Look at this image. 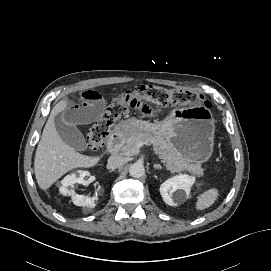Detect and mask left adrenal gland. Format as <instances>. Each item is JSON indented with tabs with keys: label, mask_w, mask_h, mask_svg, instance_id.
Segmentation results:
<instances>
[{
	"label": "left adrenal gland",
	"mask_w": 271,
	"mask_h": 271,
	"mask_svg": "<svg viewBox=\"0 0 271 271\" xmlns=\"http://www.w3.org/2000/svg\"><path fill=\"white\" fill-rule=\"evenodd\" d=\"M153 168H154V170L162 169V166L160 164H154Z\"/></svg>",
	"instance_id": "1"
}]
</instances>
